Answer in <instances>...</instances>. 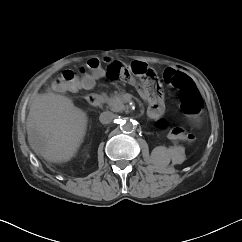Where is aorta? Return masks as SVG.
I'll list each match as a JSON object with an SVG mask.
<instances>
[{"mask_svg": "<svg viewBox=\"0 0 242 242\" xmlns=\"http://www.w3.org/2000/svg\"><path fill=\"white\" fill-rule=\"evenodd\" d=\"M120 127L125 132H132L136 128V122L134 120H123Z\"/></svg>", "mask_w": 242, "mask_h": 242, "instance_id": "aorta-1", "label": "aorta"}]
</instances>
